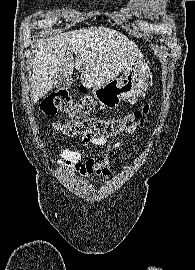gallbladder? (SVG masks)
Segmentation results:
<instances>
[{"mask_svg": "<svg viewBox=\"0 0 195 270\" xmlns=\"http://www.w3.org/2000/svg\"><path fill=\"white\" fill-rule=\"evenodd\" d=\"M72 84H73V78H72L71 75H68V76H59L54 81V86L57 89H69Z\"/></svg>", "mask_w": 195, "mask_h": 270, "instance_id": "1", "label": "gallbladder"}]
</instances>
